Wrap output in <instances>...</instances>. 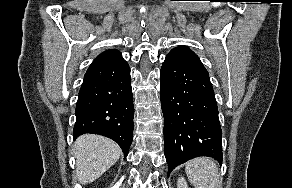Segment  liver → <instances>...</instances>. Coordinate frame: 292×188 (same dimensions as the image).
<instances>
[{
    "instance_id": "obj_1",
    "label": "liver",
    "mask_w": 292,
    "mask_h": 188,
    "mask_svg": "<svg viewBox=\"0 0 292 188\" xmlns=\"http://www.w3.org/2000/svg\"><path fill=\"white\" fill-rule=\"evenodd\" d=\"M122 150L111 139L85 134L74 144L78 181L88 184L98 179L120 158Z\"/></svg>"
}]
</instances>
